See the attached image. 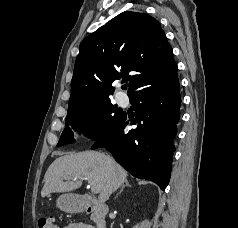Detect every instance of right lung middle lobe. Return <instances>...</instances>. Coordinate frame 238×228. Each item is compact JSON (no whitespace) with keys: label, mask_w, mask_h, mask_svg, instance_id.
I'll use <instances>...</instances> for the list:
<instances>
[{"label":"right lung middle lobe","mask_w":238,"mask_h":228,"mask_svg":"<svg viewBox=\"0 0 238 228\" xmlns=\"http://www.w3.org/2000/svg\"><path fill=\"white\" fill-rule=\"evenodd\" d=\"M123 116L110 100L94 103L85 107H68L65 125H72L74 130L84 133L89 139H98L107 133ZM70 127L62 132L57 146L74 142Z\"/></svg>","instance_id":"obj_1"}]
</instances>
